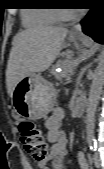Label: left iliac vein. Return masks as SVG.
Returning a JSON list of instances; mask_svg holds the SVG:
<instances>
[{"mask_svg":"<svg viewBox=\"0 0 104 169\" xmlns=\"http://www.w3.org/2000/svg\"><path fill=\"white\" fill-rule=\"evenodd\" d=\"M93 162H94L95 167H97V168L101 167V159H100L98 152L94 153Z\"/></svg>","mask_w":104,"mask_h":169,"instance_id":"obj_1","label":"left iliac vein"}]
</instances>
